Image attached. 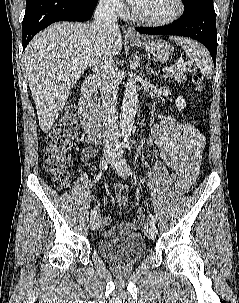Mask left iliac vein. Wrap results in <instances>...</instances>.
<instances>
[{
  "label": "left iliac vein",
  "instance_id": "1",
  "mask_svg": "<svg viewBox=\"0 0 239 303\" xmlns=\"http://www.w3.org/2000/svg\"><path fill=\"white\" fill-rule=\"evenodd\" d=\"M111 165L120 177L126 178L129 175V172L124 169L119 158H115ZM144 232L149 239H154L157 234V228L152 222H147L144 227Z\"/></svg>",
  "mask_w": 239,
  "mask_h": 303
}]
</instances>
